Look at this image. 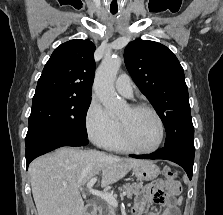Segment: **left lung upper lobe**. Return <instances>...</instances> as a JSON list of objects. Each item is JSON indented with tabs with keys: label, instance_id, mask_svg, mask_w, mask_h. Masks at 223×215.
Listing matches in <instances>:
<instances>
[{
	"label": "left lung upper lobe",
	"instance_id": "5c2ea615",
	"mask_svg": "<svg viewBox=\"0 0 223 215\" xmlns=\"http://www.w3.org/2000/svg\"><path fill=\"white\" fill-rule=\"evenodd\" d=\"M124 59L132 79L164 124L165 146L194 145L188 88L172 51L160 43L136 39L126 46Z\"/></svg>",
	"mask_w": 223,
	"mask_h": 215
}]
</instances>
